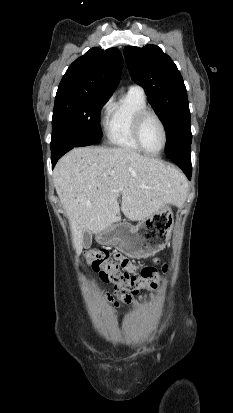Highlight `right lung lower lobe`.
Returning <instances> with one entry per match:
<instances>
[{
	"label": "right lung lower lobe",
	"instance_id": "1",
	"mask_svg": "<svg viewBox=\"0 0 233 413\" xmlns=\"http://www.w3.org/2000/svg\"><path fill=\"white\" fill-rule=\"evenodd\" d=\"M92 142H61L55 146L51 147V161H52V168H54L55 164L57 163L58 159L62 157L66 152L73 149L74 147H81V146H88L92 145Z\"/></svg>",
	"mask_w": 233,
	"mask_h": 413
}]
</instances>
